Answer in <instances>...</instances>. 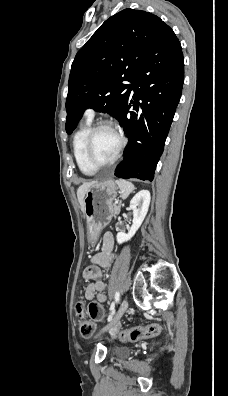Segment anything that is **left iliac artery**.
<instances>
[{
  "label": "left iliac artery",
  "mask_w": 228,
  "mask_h": 396,
  "mask_svg": "<svg viewBox=\"0 0 228 396\" xmlns=\"http://www.w3.org/2000/svg\"><path fill=\"white\" fill-rule=\"evenodd\" d=\"M119 300H120V293H119V292H116V294H115V301H116V303H118Z\"/></svg>",
  "instance_id": "44dca946"
}]
</instances>
